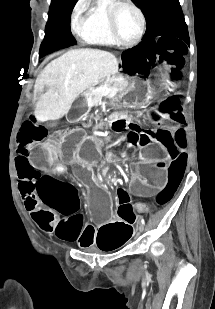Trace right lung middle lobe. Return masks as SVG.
<instances>
[{"mask_svg":"<svg viewBox=\"0 0 215 309\" xmlns=\"http://www.w3.org/2000/svg\"><path fill=\"white\" fill-rule=\"evenodd\" d=\"M76 2L77 0H51L40 57L76 44L70 30V16Z\"/></svg>","mask_w":215,"mask_h":309,"instance_id":"1","label":"right lung middle lobe"}]
</instances>
